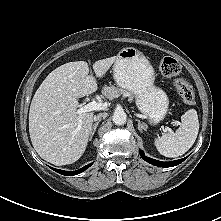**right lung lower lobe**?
<instances>
[{
  "label": "right lung lower lobe",
  "mask_w": 221,
  "mask_h": 221,
  "mask_svg": "<svg viewBox=\"0 0 221 221\" xmlns=\"http://www.w3.org/2000/svg\"><path fill=\"white\" fill-rule=\"evenodd\" d=\"M92 165V163L84 166L83 168L79 169V170H76V171H64V170H60V169H55V168H52L54 171L58 172L59 174H62V175H66V176H73V175H77L83 171H85L86 169H88L90 166Z\"/></svg>",
  "instance_id": "1"
}]
</instances>
